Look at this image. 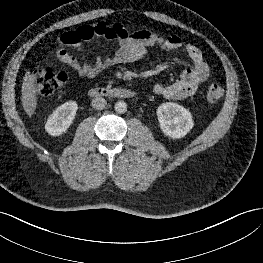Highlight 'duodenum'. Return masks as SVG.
<instances>
[{
    "instance_id": "1",
    "label": "duodenum",
    "mask_w": 263,
    "mask_h": 263,
    "mask_svg": "<svg viewBox=\"0 0 263 263\" xmlns=\"http://www.w3.org/2000/svg\"><path fill=\"white\" fill-rule=\"evenodd\" d=\"M89 95L93 98L110 97L129 99L134 98L136 93L126 88L94 87L89 90Z\"/></svg>"
}]
</instances>
